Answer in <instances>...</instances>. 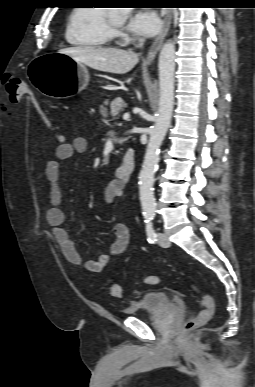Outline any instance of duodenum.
<instances>
[{"instance_id": "1", "label": "duodenum", "mask_w": 255, "mask_h": 387, "mask_svg": "<svg viewBox=\"0 0 255 387\" xmlns=\"http://www.w3.org/2000/svg\"><path fill=\"white\" fill-rule=\"evenodd\" d=\"M136 165L135 151L130 148L126 152L122 163L116 168V175L122 182H129Z\"/></svg>"}]
</instances>
